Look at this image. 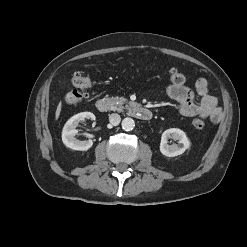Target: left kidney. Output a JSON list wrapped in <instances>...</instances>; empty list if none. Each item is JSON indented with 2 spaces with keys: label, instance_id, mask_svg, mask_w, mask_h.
I'll return each instance as SVG.
<instances>
[{
  "label": "left kidney",
  "instance_id": "obj_1",
  "mask_svg": "<svg viewBox=\"0 0 247 247\" xmlns=\"http://www.w3.org/2000/svg\"><path fill=\"white\" fill-rule=\"evenodd\" d=\"M179 140V145H168V139ZM190 148V141L185 132L178 128H170L163 132L161 136L160 152L167 157H175L183 154Z\"/></svg>",
  "mask_w": 247,
  "mask_h": 247
}]
</instances>
